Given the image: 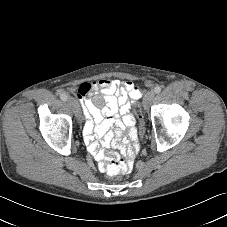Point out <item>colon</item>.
Masks as SVG:
<instances>
[{"label": "colon", "instance_id": "5ec220e1", "mask_svg": "<svg viewBox=\"0 0 227 227\" xmlns=\"http://www.w3.org/2000/svg\"><path fill=\"white\" fill-rule=\"evenodd\" d=\"M134 113L136 114V120H139L140 122V127L138 128L139 137L140 139H145V117H142L140 104H135ZM101 163L104 166L107 175L112 179H118L122 174L127 173L131 168L130 160L121 165L118 163L114 154H106Z\"/></svg>", "mask_w": 227, "mask_h": 227}]
</instances>
